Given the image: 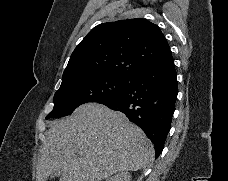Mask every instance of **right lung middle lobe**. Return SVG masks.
<instances>
[{"instance_id": "right-lung-middle-lobe-1", "label": "right lung middle lobe", "mask_w": 228, "mask_h": 181, "mask_svg": "<svg viewBox=\"0 0 228 181\" xmlns=\"http://www.w3.org/2000/svg\"><path fill=\"white\" fill-rule=\"evenodd\" d=\"M130 78L105 74L61 85L54 95V108L46 119L67 116L87 102L111 101L123 92Z\"/></svg>"}]
</instances>
